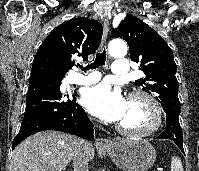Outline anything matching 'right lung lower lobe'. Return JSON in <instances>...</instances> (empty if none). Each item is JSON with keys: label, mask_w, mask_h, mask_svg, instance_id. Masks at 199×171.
<instances>
[{"label": "right lung lower lobe", "mask_w": 199, "mask_h": 171, "mask_svg": "<svg viewBox=\"0 0 199 171\" xmlns=\"http://www.w3.org/2000/svg\"><path fill=\"white\" fill-rule=\"evenodd\" d=\"M60 85L54 78L30 79L24 118L12 149L28 136L44 130H58L94 140L93 124L86 112L76 103L75 95L61 99Z\"/></svg>", "instance_id": "98d812e1"}]
</instances>
